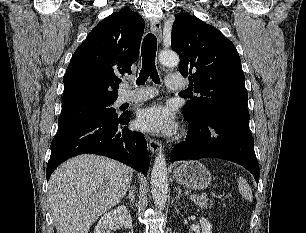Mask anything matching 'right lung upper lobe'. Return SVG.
I'll use <instances>...</instances> for the list:
<instances>
[{
  "mask_svg": "<svg viewBox=\"0 0 306 233\" xmlns=\"http://www.w3.org/2000/svg\"><path fill=\"white\" fill-rule=\"evenodd\" d=\"M144 26L142 17L128 9L103 19L71 58L62 104L83 99L116 100L118 76L131 73Z\"/></svg>",
  "mask_w": 306,
  "mask_h": 233,
  "instance_id": "right-lung-upper-lobe-1",
  "label": "right lung upper lobe"
}]
</instances>
